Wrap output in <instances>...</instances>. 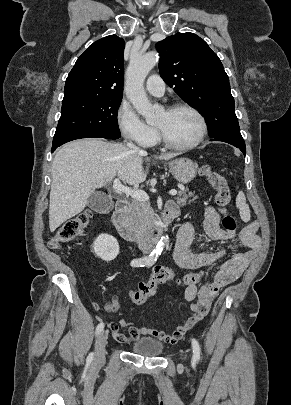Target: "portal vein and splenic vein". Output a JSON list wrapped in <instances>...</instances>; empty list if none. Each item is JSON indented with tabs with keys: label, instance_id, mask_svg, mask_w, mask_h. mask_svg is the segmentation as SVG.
Masks as SVG:
<instances>
[{
	"label": "portal vein and splenic vein",
	"instance_id": "portal-vein-and-splenic-vein-1",
	"mask_svg": "<svg viewBox=\"0 0 291 405\" xmlns=\"http://www.w3.org/2000/svg\"><path fill=\"white\" fill-rule=\"evenodd\" d=\"M113 189L117 192L124 193L126 195L131 196L135 200L146 202L149 200L148 194L143 190H134L132 188L124 186L118 178L113 181ZM169 194L175 196L177 194V190L172 189L169 191Z\"/></svg>",
	"mask_w": 291,
	"mask_h": 405
}]
</instances>
